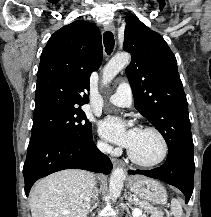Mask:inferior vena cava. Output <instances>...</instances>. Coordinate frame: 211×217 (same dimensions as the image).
I'll use <instances>...</instances> for the list:
<instances>
[{
	"mask_svg": "<svg viewBox=\"0 0 211 217\" xmlns=\"http://www.w3.org/2000/svg\"><path fill=\"white\" fill-rule=\"evenodd\" d=\"M99 149L101 150V151H103V152H108L109 151V149H110V147L107 145V144H101V145H99ZM95 192L96 191H94V193H93V198H96V196H97V193L95 194Z\"/></svg>",
	"mask_w": 211,
	"mask_h": 217,
	"instance_id": "inferior-vena-cava-1",
	"label": "inferior vena cava"
}]
</instances>
